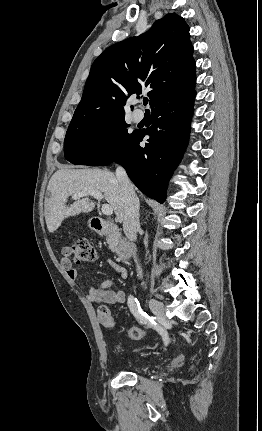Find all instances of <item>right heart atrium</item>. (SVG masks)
I'll use <instances>...</instances> for the list:
<instances>
[{
	"instance_id": "d8ad5b80",
	"label": "right heart atrium",
	"mask_w": 262,
	"mask_h": 431,
	"mask_svg": "<svg viewBox=\"0 0 262 431\" xmlns=\"http://www.w3.org/2000/svg\"><path fill=\"white\" fill-rule=\"evenodd\" d=\"M113 137V132L110 130H105L103 131L102 135H101V142L102 143H108Z\"/></svg>"
}]
</instances>
